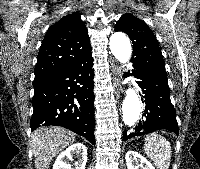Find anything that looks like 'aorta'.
Wrapping results in <instances>:
<instances>
[{"instance_id":"762f6f07","label":"aorta","mask_w":200,"mask_h":169,"mask_svg":"<svg viewBox=\"0 0 200 169\" xmlns=\"http://www.w3.org/2000/svg\"><path fill=\"white\" fill-rule=\"evenodd\" d=\"M112 54L120 63H126L130 60L132 47L130 40L123 33H115L110 37L109 42ZM141 113V102L132 88L126 91V96L122 104L123 121L128 126H133L139 119Z\"/></svg>"}]
</instances>
